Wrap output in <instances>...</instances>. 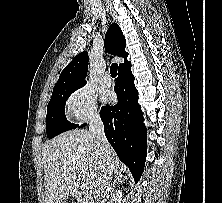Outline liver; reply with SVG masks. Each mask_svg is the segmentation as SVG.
<instances>
[{"label": "liver", "instance_id": "liver-1", "mask_svg": "<svg viewBox=\"0 0 222 203\" xmlns=\"http://www.w3.org/2000/svg\"><path fill=\"white\" fill-rule=\"evenodd\" d=\"M45 203H61L81 187L80 181L89 183L90 194H96L101 182L109 175L106 162L87 130H73L45 143L43 152ZM114 175L121 173L120 162L111 151Z\"/></svg>", "mask_w": 222, "mask_h": 203}]
</instances>
